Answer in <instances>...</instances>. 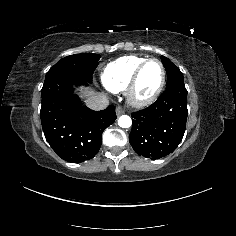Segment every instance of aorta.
<instances>
[{
    "mask_svg": "<svg viewBox=\"0 0 236 236\" xmlns=\"http://www.w3.org/2000/svg\"><path fill=\"white\" fill-rule=\"evenodd\" d=\"M118 125L122 128H128L131 126V118L128 115H121L118 120Z\"/></svg>",
    "mask_w": 236,
    "mask_h": 236,
    "instance_id": "762f6f07",
    "label": "aorta"
}]
</instances>
